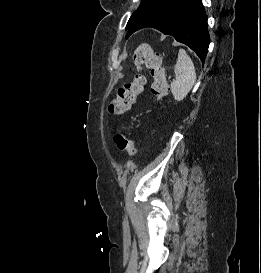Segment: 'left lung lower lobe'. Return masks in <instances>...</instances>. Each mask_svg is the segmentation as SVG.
I'll return each mask as SVG.
<instances>
[{
	"label": "left lung lower lobe",
	"mask_w": 261,
	"mask_h": 273,
	"mask_svg": "<svg viewBox=\"0 0 261 273\" xmlns=\"http://www.w3.org/2000/svg\"><path fill=\"white\" fill-rule=\"evenodd\" d=\"M145 27L173 36L190 47L204 63L210 37L201 0H167L138 19L129 28L126 38Z\"/></svg>",
	"instance_id": "0a47b994"
}]
</instances>
